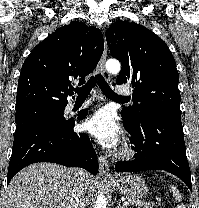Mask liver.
<instances>
[{"label": "liver", "mask_w": 199, "mask_h": 208, "mask_svg": "<svg viewBox=\"0 0 199 208\" xmlns=\"http://www.w3.org/2000/svg\"><path fill=\"white\" fill-rule=\"evenodd\" d=\"M74 169L55 163H35L18 172L8 186L6 208H69ZM96 181L86 175L84 197H93Z\"/></svg>", "instance_id": "1"}]
</instances>
